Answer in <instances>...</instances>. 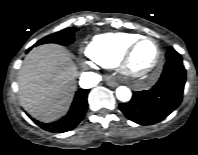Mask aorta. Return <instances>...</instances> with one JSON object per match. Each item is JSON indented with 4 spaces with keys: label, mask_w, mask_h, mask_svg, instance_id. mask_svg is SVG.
<instances>
[{
    "label": "aorta",
    "mask_w": 198,
    "mask_h": 155,
    "mask_svg": "<svg viewBox=\"0 0 198 155\" xmlns=\"http://www.w3.org/2000/svg\"><path fill=\"white\" fill-rule=\"evenodd\" d=\"M132 93L126 86H119L116 89V97L122 102H128L131 99Z\"/></svg>",
    "instance_id": "762f6f07"
}]
</instances>
